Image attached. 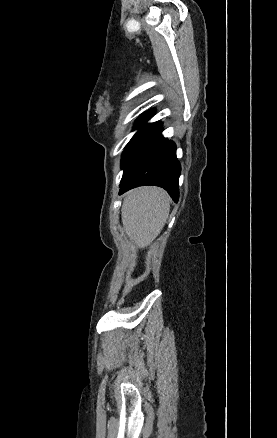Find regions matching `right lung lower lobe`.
<instances>
[{"instance_id": "1", "label": "right lung lower lobe", "mask_w": 277, "mask_h": 438, "mask_svg": "<svg viewBox=\"0 0 277 438\" xmlns=\"http://www.w3.org/2000/svg\"><path fill=\"white\" fill-rule=\"evenodd\" d=\"M156 134L145 150L133 163L120 183V194L138 186L155 185L163 187L177 202L180 163L176 158L174 142Z\"/></svg>"}]
</instances>
